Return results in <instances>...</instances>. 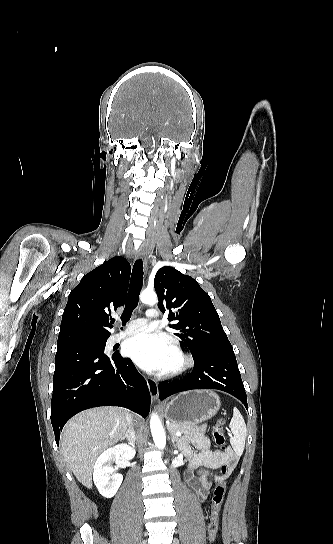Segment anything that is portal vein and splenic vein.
<instances>
[{"mask_svg":"<svg viewBox=\"0 0 333 544\" xmlns=\"http://www.w3.org/2000/svg\"><path fill=\"white\" fill-rule=\"evenodd\" d=\"M176 436H181V432H177V433H176Z\"/></svg>","mask_w":333,"mask_h":544,"instance_id":"18ae733b","label":"portal vein and splenic vein"}]
</instances>
